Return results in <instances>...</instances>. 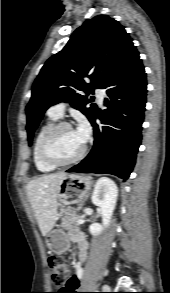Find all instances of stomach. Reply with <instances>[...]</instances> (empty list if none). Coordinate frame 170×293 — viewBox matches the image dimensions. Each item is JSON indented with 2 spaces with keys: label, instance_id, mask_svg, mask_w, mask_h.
I'll return each instance as SVG.
<instances>
[{
  "label": "stomach",
  "instance_id": "stomach-1",
  "mask_svg": "<svg viewBox=\"0 0 170 293\" xmlns=\"http://www.w3.org/2000/svg\"><path fill=\"white\" fill-rule=\"evenodd\" d=\"M92 179L88 175L67 174L60 183L57 192L59 207L71 204H80L89 196ZM47 246L56 254L64 253L69 247L66 233L61 229H55L47 234Z\"/></svg>",
  "mask_w": 170,
  "mask_h": 293
}]
</instances>
